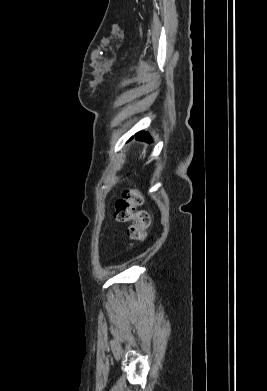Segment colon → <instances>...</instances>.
Instances as JSON below:
<instances>
[{
  "label": "colon",
  "instance_id": "colon-1",
  "mask_svg": "<svg viewBox=\"0 0 267 391\" xmlns=\"http://www.w3.org/2000/svg\"><path fill=\"white\" fill-rule=\"evenodd\" d=\"M143 204V196L137 189H125L115 202L114 218L118 222L133 223L127 229L130 239L143 242L147 238V230L151 219L145 210H138Z\"/></svg>",
  "mask_w": 267,
  "mask_h": 391
}]
</instances>
